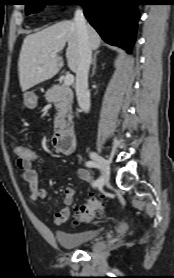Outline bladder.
I'll return each mask as SVG.
<instances>
[{"label":"bladder","instance_id":"bladder-1","mask_svg":"<svg viewBox=\"0 0 174 278\" xmlns=\"http://www.w3.org/2000/svg\"><path fill=\"white\" fill-rule=\"evenodd\" d=\"M99 234V229H90L80 232L57 231L55 232V239L61 247L72 249L90 243Z\"/></svg>","mask_w":174,"mask_h":278}]
</instances>
